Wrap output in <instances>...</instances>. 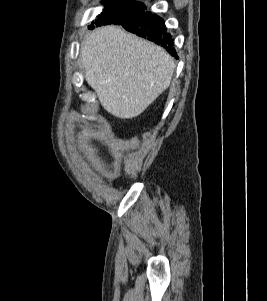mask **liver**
Here are the masks:
<instances>
[{
  "mask_svg": "<svg viewBox=\"0 0 267 301\" xmlns=\"http://www.w3.org/2000/svg\"><path fill=\"white\" fill-rule=\"evenodd\" d=\"M80 56L102 107L121 119L139 116L170 86L175 70L162 47L116 26L87 35Z\"/></svg>",
  "mask_w": 267,
  "mask_h": 301,
  "instance_id": "1",
  "label": "liver"
}]
</instances>
